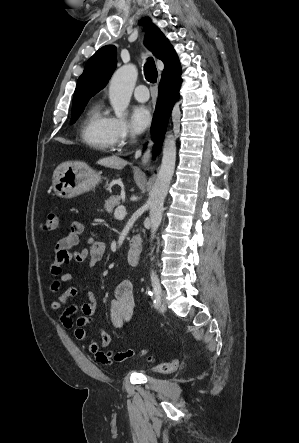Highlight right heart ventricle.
Returning <instances> with one entry per match:
<instances>
[{"label":"right heart ventricle","mask_w":299,"mask_h":443,"mask_svg":"<svg viewBox=\"0 0 299 443\" xmlns=\"http://www.w3.org/2000/svg\"><path fill=\"white\" fill-rule=\"evenodd\" d=\"M110 119L100 104L92 105L81 126L83 143L97 151H110L114 146L110 135Z\"/></svg>","instance_id":"obj_1"}]
</instances>
